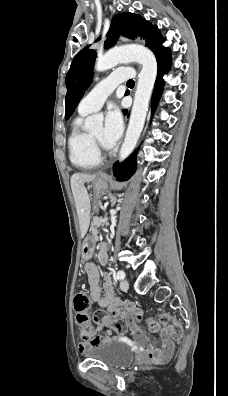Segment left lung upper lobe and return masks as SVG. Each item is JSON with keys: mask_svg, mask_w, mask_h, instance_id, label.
<instances>
[{"mask_svg": "<svg viewBox=\"0 0 228 396\" xmlns=\"http://www.w3.org/2000/svg\"><path fill=\"white\" fill-rule=\"evenodd\" d=\"M159 36L161 34L157 26L151 25L150 22L142 19L140 15L129 12L121 13L115 15L112 19L107 33L108 38L105 41V48L112 47L118 38L121 40H134L138 37L145 39V46L148 47V44ZM88 48L89 46L83 48L74 57L66 75L65 119H68L73 114L85 90L92 81L96 52Z\"/></svg>", "mask_w": 228, "mask_h": 396, "instance_id": "5c2ea615", "label": "left lung upper lobe"}]
</instances>
